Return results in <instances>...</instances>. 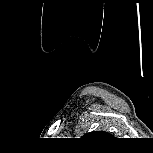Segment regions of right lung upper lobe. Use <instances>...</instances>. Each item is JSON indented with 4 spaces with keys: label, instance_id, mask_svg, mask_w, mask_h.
Wrapping results in <instances>:
<instances>
[{
    "label": "right lung upper lobe",
    "instance_id": "right-lung-upper-lobe-1",
    "mask_svg": "<svg viewBox=\"0 0 153 153\" xmlns=\"http://www.w3.org/2000/svg\"><path fill=\"white\" fill-rule=\"evenodd\" d=\"M100 135H109V134L105 133V132H90V133L84 135V137H96V136H100Z\"/></svg>",
    "mask_w": 153,
    "mask_h": 153
}]
</instances>
